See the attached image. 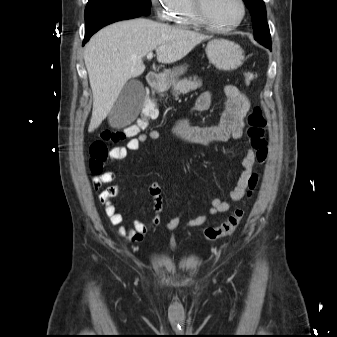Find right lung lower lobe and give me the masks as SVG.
<instances>
[{"mask_svg":"<svg viewBox=\"0 0 337 337\" xmlns=\"http://www.w3.org/2000/svg\"><path fill=\"white\" fill-rule=\"evenodd\" d=\"M140 13L128 12L123 10L103 12L91 16L86 20L85 24V38L83 45L90 39V37L102 27L116 21L132 19L141 16Z\"/></svg>","mask_w":337,"mask_h":337,"instance_id":"1","label":"right lung lower lobe"}]
</instances>
